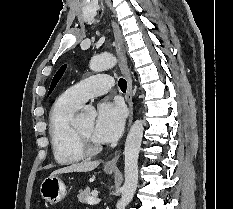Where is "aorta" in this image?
<instances>
[{
	"mask_svg": "<svg viewBox=\"0 0 233 209\" xmlns=\"http://www.w3.org/2000/svg\"><path fill=\"white\" fill-rule=\"evenodd\" d=\"M117 60L112 54H102L94 57L90 61V69L95 72L104 71L115 66ZM96 112L93 107H86L78 115L77 121L80 123L93 121ZM143 122L136 120L131 126L127 135L124 157H125V182L122 187V196L118 201L116 208L125 209L129 202L133 199L137 185H138V157L143 138Z\"/></svg>",
	"mask_w": 233,
	"mask_h": 209,
	"instance_id": "obj_1",
	"label": "aorta"
}]
</instances>
